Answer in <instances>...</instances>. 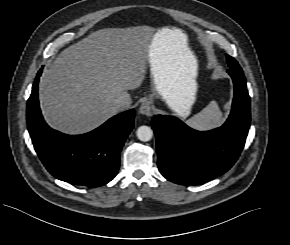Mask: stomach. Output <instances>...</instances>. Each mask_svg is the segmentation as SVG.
<instances>
[{
  "instance_id": "1",
  "label": "stomach",
  "mask_w": 290,
  "mask_h": 245,
  "mask_svg": "<svg viewBox=\"0 0 290 245\" xmlns=\"http://www.w3.org/2000/svg\"><path fill=\"white\" fill-rule=\"evenodd\" d=\"M159 38L155 36L149 48V65L152 83L156 93L182 118H186L196 98L195 77L189 81H178L171 86V78L158 55Z\"/></svg>"
}]
</instances>
